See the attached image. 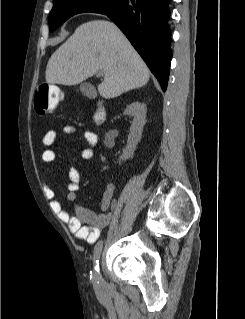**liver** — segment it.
<instances>
[{"instance_id":"liver-1","label":"liver","mask_w":245,"mask_h":319,"mask_svg":"<svg viewBox=\"0 0 245 319\" xmlns=\"http://www.w3.org/2000/svg\"><path fill=\"white\" fill-rule=\"evenodd\" d=\"M104 72L99 94L115 98L146 85L150 71L121 30L112 22L81 24L50 57L45 79L50 84L76 85Z\"/></svg>"}]
</instances>
